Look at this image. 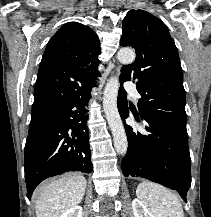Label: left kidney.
<instances>
[{
	"label": "left kidney",
	"instance_id": "obj_1",
	"mask_svg": "<svg viewBox=\"0 0 211 217\" xmlns=\"http://www.w3.org/2000/svg\"><path fill=\"white\" fill-rule=\"evenodd\" d=\"M132 209L134 217H154L144 203L137 198L132 201Z\"/></svg>",
	"mask_w": 211,
	"mask_h": 217
}]
</instances>
